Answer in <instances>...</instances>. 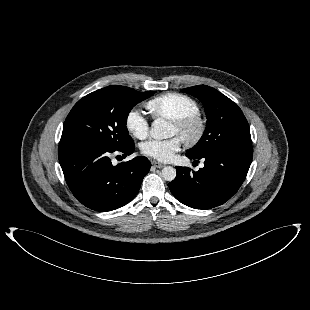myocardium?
Instances as JSON below:
<instances>
[{"instance_id": "obj_1", "label": "myocardium", "mask_w": 310, "mask_h": 310, "mask_svg": "<svg viewBox=\"0 0 310 310\" xmlns=\"http://www.w3.org/2000/svg\"><path fill=\"white\" fill-rule=\"evenodd\" d=\"M179 131V137L187 146L197 145L204 137L206 121L199 113L185 115L171 120Z\"/></svg>"}]
</instances>
